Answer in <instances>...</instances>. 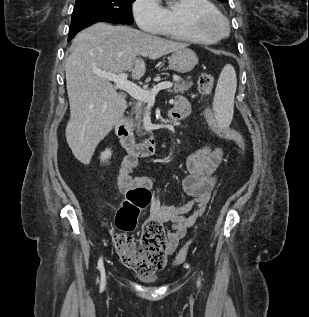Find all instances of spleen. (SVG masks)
I'll use <instances>...</instances> for the list:
<instances>
[{
	"label": "spleen",
	"mask_w": 309,
	"mask_h": 317,
	"mask_svg": "<svg viewBox=\"0 0 309 317\" xmlns=\"http://www.w3.org/2000/svg\"><path fill=\"white\" fill-rule=\"evenodd\" d=\"M236 88L235 69L227 64L220 73L213 101L215 118L221 127L229 126L232 121Z\"/></svg>",
	"instance_id": "spleen-1"
}]
</instances>
